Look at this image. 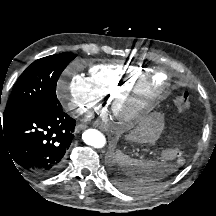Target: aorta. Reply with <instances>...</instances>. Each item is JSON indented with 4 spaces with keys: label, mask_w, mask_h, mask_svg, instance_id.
I'll return each instance as SVG.
<instances>
[{
    "label": "aorta",
    "mask_w": 216,
    "mask_h": 216,
    "mask_svg": "<svg viewBox=\"0 0 216 216\" xmlns=\"http://www.w3.org/2000/svg\"><path fill=\"white\" fill-rule=\"evenodd\" d=\"M83 141L94 148H103L106 145L105 136L96 129H87L82 134Z\"/></svg>",
    "instance_id": "762f6f07"
}]
</instances>
